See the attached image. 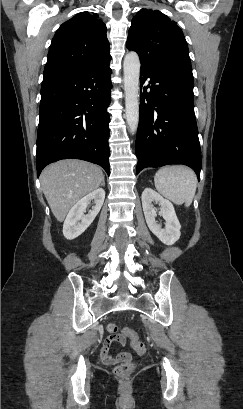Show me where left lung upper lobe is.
I'll return each instance as SVG.
<instances>
[{
  "mask_svg": "<svg viewBox=\"0 0 243 409\" xmlns=\"http://www.w3.org/2000/svg\"><path fill=\"white\" fill-rule=\"evenodd\" d=\"M126 46L140 57L141 69L170 63L191 65L187 42L176 22L157 10H140L131 22Z\"/></svg>",
  "mask_w": 243,
  "mask_h": 409,
  "instance_id": "obj_1",
  "label": "left lung upper lobe"
}]
</instances>
